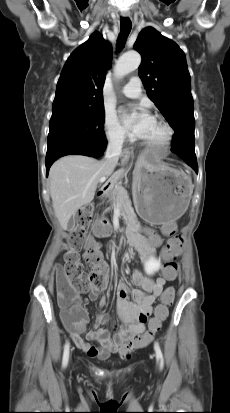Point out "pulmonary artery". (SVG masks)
<instances>
[{
  "instance_id": "1",
  "label": "pulmonary artery",
  "mask_w": 230,
  "mask_h": 413,
  "mask_svg": "<svg viewBox=\"0 0 230 413\" xmlns=\"http://www.w3.org/2000/svg\"><path fill=\"white\" fill-rule=\"evenodd\" d=\"M142 92V83L139 77H132L130 80L124 85L121 90V93L129 98H138Z\"/></svg>"
}]
</instances>
